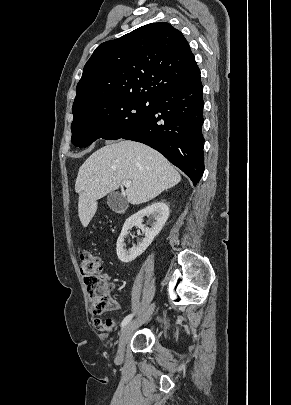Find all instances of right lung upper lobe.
Here are the masks:
<instances>
[{"mask_svg":"<svg viewBox=\"0 0 291 405\" xmlns=\"http://www.w3.org/2000/svg\"><path fill=\"white\" fill-rule=\"evenodd\" d=\"M199 74L183 34L169 23H150L95 49L77 84L72 113L127 96L153 99Z\"/></svg>","mask_w":291,"mask_h":405,"instance_id":"obj_1","label":"right lung upper lobe"}]
</instances>
